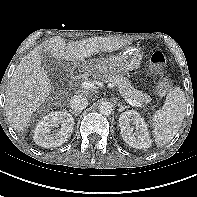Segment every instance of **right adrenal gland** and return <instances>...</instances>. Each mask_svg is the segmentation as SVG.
Instances as JSON below:
<instances>
[{"label":"right adrenal gland","instance_id":"right-adrenal-gland-1","mask_svg":"<svg viewBox=\"0 0 197 197\" xmlns=\"http://www.w3.org/2000/svg\"><path fill=\"white\" fill-rule=\"evenodd\" d=\"M70 113L73 114V115L76 116V117L80 114V113H75V112H73L72 110H70Z\"/></svg>","mask_w":197,"mask_h":197}]
</instances>
